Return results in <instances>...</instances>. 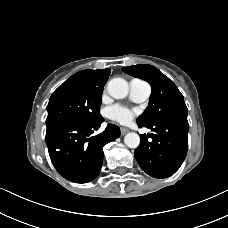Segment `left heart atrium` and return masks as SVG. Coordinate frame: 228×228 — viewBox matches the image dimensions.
I'll return each instance as SVG.
<instances>
[{
  "label": "left heart atrium",
  "instance_id": "1",
  "mask_svg": "<svg viewBox=\"0 0 228 228\" xmlns=\"http://www.w3.org/2000/svg\"><path fill=\"white\" fill-rule=\"evenodd\" d=\"M107 114L112 120L121 124L129 123L134 117V113L130 109L120 105L108 107Z\"/></svg>",
  "mask_w": 228,
  "mask_h": 228
}]
</instances>
